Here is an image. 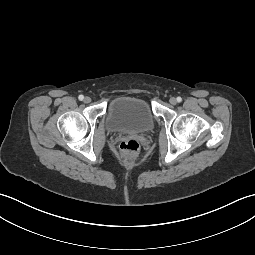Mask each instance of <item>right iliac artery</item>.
Returning a JSON list of instances; mask_svg holds the SVG:
<instances>
[{
    "instance_id": "82829eb1",
    "label": "right iliac artery",
    "mask_w": 255,
    "mask_h": 255,
    "mask_svg": "<svg viewBox=\"0 0 255 255\" xmlns=\"http://www.w3.org/2000/svg\"><path fill=\"white\" fill-rule=\"evenodd\" d=\"M78 99H79L80 101H82V100L84 99V96H83V95H79Z\"/></svg>"
}]
</instances>
